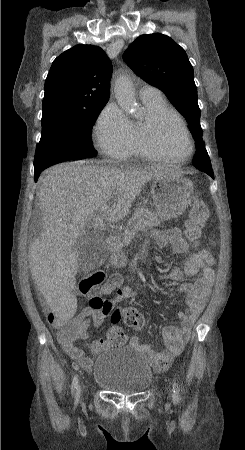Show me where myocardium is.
Wrapping results in <instances>:
<instances>
[{
    "label": "myocardium",
    "instance_id": "f54148a6",
    "mask_svg": "<svg viewBox=\"0 0 245 450\" xmlns=\"http://www.w3.org/2000/svg\"><path fill=\"white\" fill-rule=\"evenodd\" d=\"M173 121L176 123L182 132L184 133L187 142L189 144V152L182 156H175L170 153H168L164 147L160 143V132L161 129L164 127V125L169 122ZM145 138H146V144L147 148L155 155L166 158V159H174V160H187L189 159L192 154L194 153L195 147L194 142L191 138L190 132L185 126V124L178 121L175 117L169 114H163L156 118H153L150 120L145 127L144 130Z\"/></svg>",
    "mask_w": 245,
    "mask_h": 450
}]
</instances>
